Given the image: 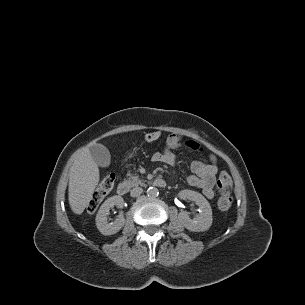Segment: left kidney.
Returning <instances> with one entry per match:
<instances>
[{"mask_svg": "<svg viewBox=\"0 0 305 305\" xmlns=\"http://www.w3.org/2000/svg\"><path fill=\"white\" fill-rule=\"evenodd\" d=\"M180 199H188L194 201L199 207V213L195 215L193 219L189 217V213L186 211L178 214L179 222L189 231L203 232L210 228L212 225V209L206 198L192 190H181L178 194Z\"/></svg>", "mask_w": 305, "mask_h": 305, "instance_id": "left-kidney-1", "label": "left kidney"}]
</instances>
